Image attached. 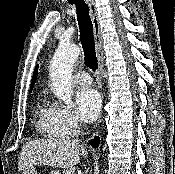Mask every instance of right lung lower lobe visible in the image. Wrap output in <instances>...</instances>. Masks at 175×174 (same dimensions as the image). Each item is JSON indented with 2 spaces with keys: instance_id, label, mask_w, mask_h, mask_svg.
Segmentation results:
<instances>
[{
  "instance_id": "obj_1",
  "label": "right lung lower lobe",
  "mask_w": 175,
  "mask_h": 174,
  "mask_svg": "<svg viewBox=\"0 0 175 174\" xmlns=\"http://www.w3.org/2000/svg\"><path fill=\"white\" fill-rule=\"evenodd\" d=\"M91 145L95 148L98 147L99 145V138L98 137H94V139L92 141H90Z\"/></svg>"
}]
</instances>
